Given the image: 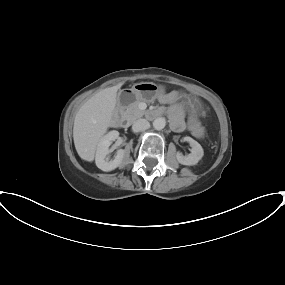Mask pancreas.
<instances>
[{
	"label": "pancreas",
	"mask_w": 285,
	"mask_h": 285,
	"mask_svg": "<svg viewBox=\"0 0 285 285\" xmlns=\"http://www.w3.org/2000/svg\"><path fill=\"white\" fill-rule=\"evenodd\" d=\"M140 100L134 101L130 104L125 110V116L128 121H134L143 117L146 114V111L139 108Z\"/></svg>",
	"instance_id": "1"
}]
</instances>
